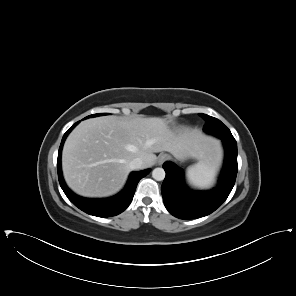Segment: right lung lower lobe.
<instances>
[{"instance_id": "obj_1", "label": "right lung lower lobe", "mask_w": 296, "mask_h": 296, "mask_svg": "<svg viewBox=\"0 0 296 296\" xmlns=\"http://www.w3.org/2000/svg\"><path fill=\"white\" fill-rule=\"evenodd\" d=\"M75 123L63 136L58 152L57 170L60 186L68 199L80 210L97 217H111L123 212L131 203L137 184L149 174L150 169L131 173L125 188L117 195L106 199H88L74 194L65 184L61 171V151L69 132L78 124Z\"/></svg>"}]
</instances>
